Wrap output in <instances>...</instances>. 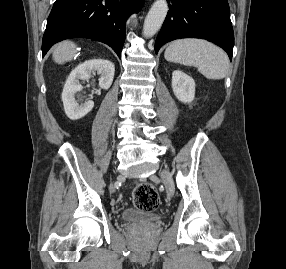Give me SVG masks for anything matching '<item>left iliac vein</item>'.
Here are the masks:
<instances>
[{
  "instance_id": "obj_1",
  "label": "left iliac vein",
  "mask_w": 286,
  "mask_h": 269,
  "mask_svg": "<svg viewBox=\"0 0 286 269\" xmlns=\"http://www.w3.org/2000/svg\"><path fill=\"white\" fill-rule=\"evenodd\" d=\"M161 177L163 179V183L168 196L172 197L174 194V182L171 174L168 170L165 169L161 172Z\"/></svg>"
}]
</instances>
